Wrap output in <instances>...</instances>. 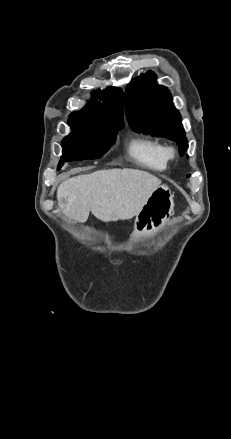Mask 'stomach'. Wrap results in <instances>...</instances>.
<instances>
[{
    "label": "stomach",
    "mask_w": 231,
    "mask_h": 439,
    "mask_svg": "<svg viewBox=\"0 0 231 439\" xmlns=\"http://www.w3.org/2000/svg\"><path fill=\"white\" fill-rule=\"evenodd\" d=\"M173 197V193L167 185H160L137 214L134 234L147 237L163 229L173 213Z\"/></svg>",
    "instance_id": "stomach-1"
}]
</instances>
